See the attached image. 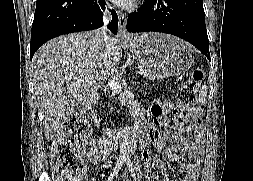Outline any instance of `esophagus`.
<instances>
[{"instance_id": "obj_1", "label": "esophagus", "mask_w": 253, "mask_h": 181, "mask_svg": "<svg viewBox=\"0 0 253 181\" xmlns=\"http://www.w3.org/2000/svg\"><path fill=\"white\" fill-rule=\"evenodd\" d=\"M119 23H118V38L128 39L130 36L126 29V15L122 12L118 13Z\"/></svg>"}]
</instances>
